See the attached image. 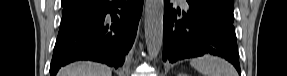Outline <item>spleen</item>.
Returning <instances> with one entry per match:
<instances>
[{
  "mask_svg": "<svg viewBox=\"0 0 287 76\" xmlns=\"http://www.w3.org/2000/svg\"><path fill=\"white\" fill-rule=\"evenodd\" d=\"M190 65L204 76H237L234 67L219 57L205 55L190 61Z\"/></svg>",
  "mask_w": 287,
  "mask_h": 76,
  "instance_id": "1",
  "label": "spleen"
}]
</instances>
